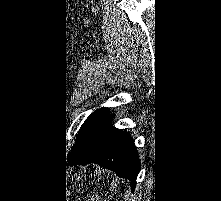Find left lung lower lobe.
<instances>
[{"label":"left lung lower lobe","mask_w":221,"mask_h":201,"mask_svg":"<svg viewBox=\"0 0 221 201\" xmlns=\"http://www.w3.org/2000/svg\"><path fill=\"white\" fill-rule=\"evenodd\" d=\"M113 116H106L91 143L69 158L70 164L97 163L127 178L136 186L140 170L138 151L129 133L112 126Z\"/></svg>","instance_id":"left-lung-lower-lobe-1"}]
</instances>
